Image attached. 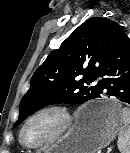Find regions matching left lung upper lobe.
Returning a JSON list of instances; mask_svg holds the SVG:
<instances>
[{
	"label": "left lung upper lobe",
	"mask_w": 130,
	"mask_h": 153,
	"mask_svg": "<svg viewBox=\"0 0 130 153\" xmlns=\"http://www.w3.org/2000/svg\"><path fill=\"white\" fill-rule=\"evenodd\" d=\"M121 33L119 24L100 17L88 19L77 27L35 71L30 88L21 100L14 127L47 105L81 104L98 98L99 83L89 85L100 76Z\"/></svg>",
	"instance_id": "1"
}]
</instances>
